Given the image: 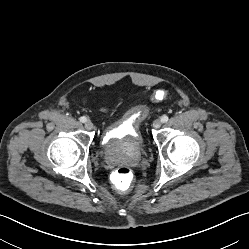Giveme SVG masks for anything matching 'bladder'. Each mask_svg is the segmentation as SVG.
<instances>
[{
    "instance_id": "1",
    "label": "bladder",
    "mask_w": 249,
    "mask_h": 249,
    "mask_svg": "<svg viewBox=\"0 0 249 249\" xmlns=\"http://www.w3.org/2000/svg\"><path fill=\"white\" fill-rule=\"evenodd\" d=\"M139 114L138 120L129 123L125 119L119 120L110 126L104 135L102 149L108 157L121 150H137L141 151L144 148V142L141 134L142 116L148 115V109L136 105L129 108L126 115Z\"/></svg>"
}]
</instances>
